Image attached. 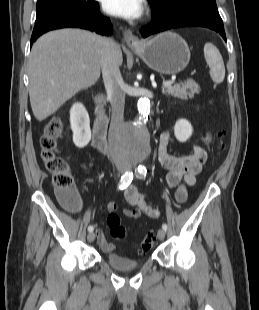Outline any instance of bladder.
<instances>
[{
  "label": "bladder",
  "mask_w": 259,
  "mask_h": 310,
  "mask_svg": "<svg viewBox=\"0 0 259 310\" xmlns=\"http://www.w3.org/2000/svg\"><path fill=\"white\" fill-rule=\"evenodd\" d=\"M106 261L111 267L120 270L135 269L141 265V262L138 260H133L114 252L106 255Z\"/></svg>",
  "instance_id": "obj_1"
}]
</instances>
